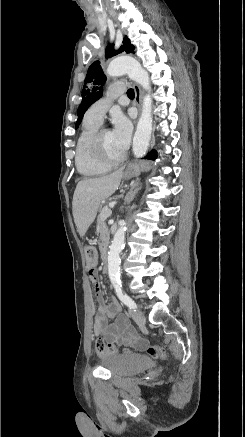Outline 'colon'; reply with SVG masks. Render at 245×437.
<instances>
[{"instance_id":"colon-1","label":"colon","mask_w":245,"mask_h":437,"mask_svg":"<svg viewBox=\"0 0 245 437\" xmlns=\"http://www.w3.org/2000/svg\"><path fill=\"white\" fill-rule=\"evenodd\" d=\"M85 261L89 274H92L97 266V251L95 247L88 245L85 247ZM95 350L99 355L115 354L119 352L118 347L114 343H106L102 338H97L95 341ZM123 352H130V349L123 348ZM145 352L152 358H166L167 353L165 348L157 345H148L145 347Z\"/></svg>"}]
</instances>
